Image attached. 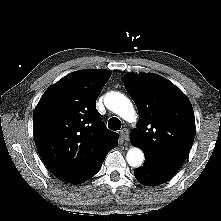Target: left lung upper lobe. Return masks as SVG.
Here are the masks:
<instances>
[{
    "instance_id": "left-lung-upper-lobe-1",
    "label": "left lung upper lobe",
    "mask_w": 221,
    "mask_h": 221,
    "mask_svg": "<svg viewBox=\"0 0 221 221\" xmlns=\"http://www.w3.org/2000/svg\"><path fill=\"white\" fill-rule=\"evenodd\" d=\"M125 88L140 114L131 141L140 147L145 159L179 170L186 160L195 136V118L186 95L169 80L157 74H128Z\"/></svg>"
}]
</instances>
